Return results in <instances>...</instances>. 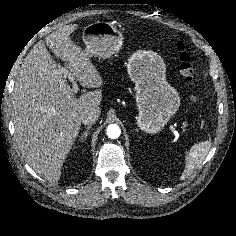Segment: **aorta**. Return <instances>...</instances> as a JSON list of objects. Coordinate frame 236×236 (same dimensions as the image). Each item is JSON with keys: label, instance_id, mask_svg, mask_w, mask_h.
<instances>
[{"label": "aorta", "instance_id": "obj_1", "mask_svg": "<svg viewBox=\"0 0 236 236\" xmlns=\"http://www.w3.org/2000/svg\"><path fill=\"white\" fill-rule=\"evenodd\" d=\"M121 130L118 125L110 124L107 127V136L111 139H116L120 136Z\"/></svg>", "mask_w": 236, "mask_h": 236}]
</instances>
